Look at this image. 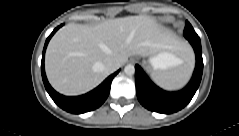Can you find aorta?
I'll return each instance as SVG.
<instances>
[{
  "label": "aorta",
  "mask_w": 239,
  "mask_h": 136,
  "mask_svg": "<svg viewBox=\"0 0 239 136\" xmlns=\"http://www.w3.org/2000/svg\"><path fill=\"white\" fill-rule=\"evenodd\" d=\"M124 72L127 74V75H133L135 73V67L134 65L132 64H128L125 66L124 68Z\"/></svg>",
  "instance_id": "obj_1"
}]
</instances>
